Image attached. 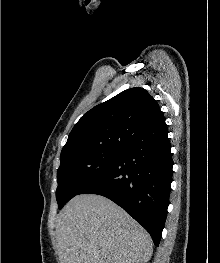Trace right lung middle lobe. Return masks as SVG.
Segmentation results:
<instances>
[{"mask_svg":"<svg viewBox=\"0 0 220 263\" xmlns=\"http://www.w3.org/2000/svg\"><path fill=\"white\" fill-rule=\"evenodd\" d=\"M123 151L124 149L92 148L75 150L61 155L56 190L59 209L87 184L116 163L121 158Z\"/></svg>","mask_w":220,"mask_h":263,"instance_id":"right-lung-middle-lobe-1","label":"right lung middle lobe"}]
</instances>
